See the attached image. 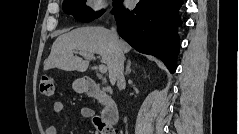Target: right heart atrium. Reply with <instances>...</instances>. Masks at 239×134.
Instances as JSON below:
<instances>
[{
    "mask_svg": "<svg viewBox=\"0 0 239 134\" xmlns=\"http://www.w3.org/2000/svg\"><path fill=\"white\" fill-rule=\"evenodd\" d=\"M107 7L105 0H92L88 2V9L93 13H102Z\"/></svg>",
    "mask_w": 239,
    "mask_h": 134,
    "instance_id": "right-heart-atrium-1",
    "label": "right heart atrium"
}]
</instances>
